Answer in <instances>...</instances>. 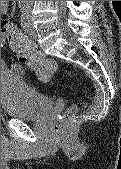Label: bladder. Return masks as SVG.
<instances>
[{"label": "bladder", "instance_id": "obj_1", "mask_svg": "<svg viewBox=\"0 0 121 169\" xmlns=\"http://www.w3.org/2000/svg\"><path fill=\"white\" fill-rule=\"evenodd\" d=\"M1 104L7 116L23 121L39 120L53 108V101L47 95L13 71L1 75Z\"/></svg>", "mask_w": 121, "mask_h": 169}]
</instances>
